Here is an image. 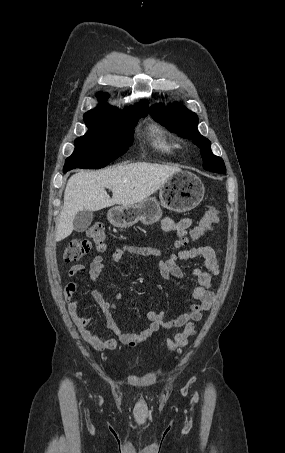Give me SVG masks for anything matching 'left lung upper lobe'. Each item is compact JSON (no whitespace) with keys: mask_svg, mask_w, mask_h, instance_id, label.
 <instances>
[{"mask_svg":"<svg viewBox=\"0 0 285 453\" xmlns=\"http://www.w3.org/2000/svg\"><path fill=\"white\" fill-rule=\"evenodd\" d=\"M151 116L161 125L182 138L192 140L200 148L204 161L203 168L208 171L225 174L226 167L222 158L211 152V142L203 137L197 130V115L184 106L163 104L153 105L150 109Z\"/></svg>","mask_w":285,"mask_h":453,"instance_id":"left-lung-upper-lobe-1","label":"left lung upper lobe"}]
</instances>
